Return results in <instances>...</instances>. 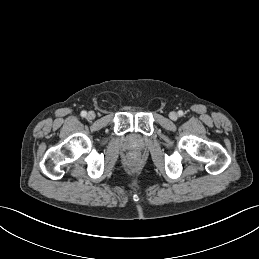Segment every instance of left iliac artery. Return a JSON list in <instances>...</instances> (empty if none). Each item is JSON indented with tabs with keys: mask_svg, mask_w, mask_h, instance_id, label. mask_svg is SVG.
Masks as SVG:
<instances>
[{
	"mask_svg": "<svg viewBox=\"0 0 259 259\" xmlns=\"http://www.w3.org/2000/svg\"><path fill=\"white\" fill-rule=\"evenodd\" d=\"M183 114H184V113H183L182 110H179V111H178V115H179V116H183Z\"/></svg>",
	"mask_w": 259,
	"mask_h": 259,
	"instance_id": "left-iliac-artery-1",
	"label": "left iliac artery"
}]
</instances>
